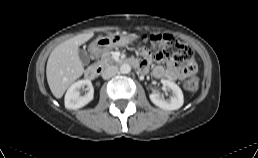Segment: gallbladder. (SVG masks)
Returning <instances> with one entry per match:
<instances>
[{
  "instance_id": "bac80fb5",
  "label": "gallbladder",
  "mask_w": 258,
  "mask_h": 158,
  "mask_svg": "<svg viewBox=\"0 0 258 158\" xmlns=\"http://www.w3.org/2000/svg\"><path fill=\"white\" fill-rule=\"evenodd\" d=\"M79 58L83 65H88L90 62V55L86 50H79Z\"/></svg>"
}]
</instances>
